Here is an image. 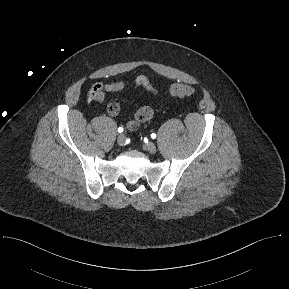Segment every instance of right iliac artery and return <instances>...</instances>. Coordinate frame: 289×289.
Wrapping results in <instances>:
<instances>
[{
	"label": "right iliac artery",
	"mask_w": 289,
	"mask_h": 289,
	"mask_svg": "<svg viewBox=\"0 0 289 289\" xmlns=\"http://www.w3.org/2000/svg\"><path fill=\"white\" fill-rule=\"evenodd\" d=\"M123 131H124L123 127H119V128H118V132H119V133H122Z\"/></svg>",
	"instance_id": "right-iliac-artery-1"
}]
</instances>
